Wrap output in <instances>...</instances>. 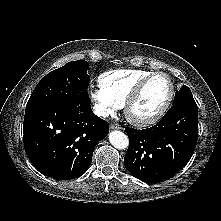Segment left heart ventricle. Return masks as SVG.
<instances>
[{"label": "left heart ventricle", "instance_id": "obj_1", "mask_svg": "<svg viewBox=\"0 0 221 221\" xmlns=\"http://www.w3.org/2000/svg\"><path fill=\"white\" fill-rule=\"evenodd\" d=\"M170 91L168 80L164 76H156L145 86L140 98L131 108L136 118L149 117L160 110Z\"/></svg>", "mask_w": 221, "mask_h": 221}]
</instances>
